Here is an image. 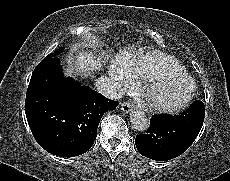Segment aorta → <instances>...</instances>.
I'll return each instance as SVG.
<instances>
[{
	"label": "aorta",
	"instance_id": "762f6f07",
	"mask_svg": "<svg viewBox=\"0 0 230 181\" xmlns=\"http://www.w3.org/2000/svg\"><path fill=\"white\" fill-rule=\"evenodd\" d=\"M130 123L132 128L138 132H146L150 125L147 116L140 110H133L130 113Z\"/></svg>",
	"mask_w": 230,
	"mask_h": 181
}]
</instances>
